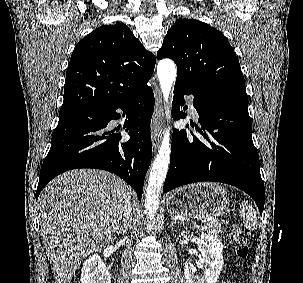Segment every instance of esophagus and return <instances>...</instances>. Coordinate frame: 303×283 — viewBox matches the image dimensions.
Listing matches in <instances>:
<instances>
[{
  "instance_id": "obj_1",
  "label": "esophagus",
  "mask_w": 303,
  "mask_h": 283,
  "mask_svg": "<svg viewBox=\"0 0 303 283\" xmlns=\"http://www.w3.org/2000/svg\"><path fill=\"white\" fill-rule=\"evenodd\" d=\"M162 95L159 88L155 87V108L152 117L151 124V139H152V148L156 152L159 147V142L161 138V120H162Z\"/></svg>"
}]
</instances>
